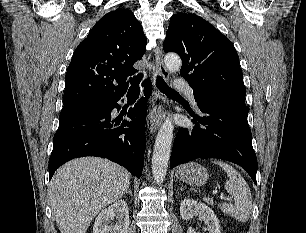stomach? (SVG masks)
Returning <instances> with one entry per match:
<instances>
[{"label":"stomach","instance_id":"1","mask_svg":"<svg viewBox=\"0 0 306 233\" xmlns=\"http://www.w3.org/2000/svg\"><path fill=\"white\" fill-rule=\"evenodd\" d=\"M207 170L196 162H189L179 167L177 178L193 186H202L208 181Z\"/></svg>","mask_w":306,"mask_h":233}]
</instances>
